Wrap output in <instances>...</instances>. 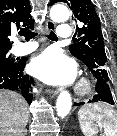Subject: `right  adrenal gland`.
Listing matches in <instances>:
<instances>
[{"mask_svg": "<svg viewBox=\"0 0 117 136\" xmlns=\"http://www.w3.org/2000/svg\"><path fill=\"white\" fill-rule=\"evenodd\" d=\"M26 135H27V130H25V131H24V134H23V136H26Z\"/></svg>", "mask_w": 117, "mask_h": 136, "instance_id": "obj_1", "label": "right adrenal gland"}]
</instances>
